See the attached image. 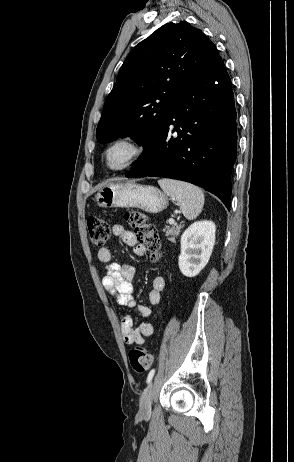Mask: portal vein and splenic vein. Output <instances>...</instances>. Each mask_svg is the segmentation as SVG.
<instances>
[{
    "label": "portal vein and splenic vein",
    "mask_w": 294,
    "mask_h": 462,
    "mask_svg": "<svg viewBox=\"0 0 294 462\" xmlns=\"http://www.w3.org/2000/svg\"><path fill=\"white\" fill-rule=\"evenodd\" d=\"M168 222H169V224H174V223H175V222H174V220H173L172 218H171V219H169V221H168Z\"/></svg>",
    "instance_id": "portal-vein-and-splenic-vein-1"
}]
</instances>
